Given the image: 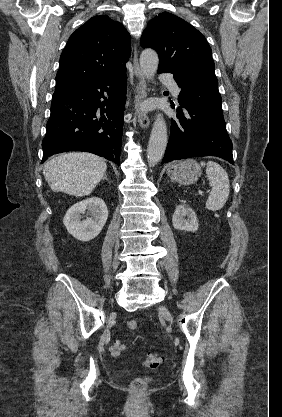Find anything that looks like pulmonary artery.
<instances>
[{
    "mask_svg": "<svg viewBox=\"0 0 282 417\" xmlns=\"http://www.w3.org/2000/svg\"><path fill=\"white\" fill-rule=\"evenodd\" d=\"M158 83H169L172 93L175 98L179 95V88L174 81H170L169 74H158L157 76ZM170 81V82H169Z\"/></svg>",
    "mask_w": 282,
    "mask_h": 417,
    "instance_id": "obj_1",
    "label": "pulmonary artery"
}]
</instances>
